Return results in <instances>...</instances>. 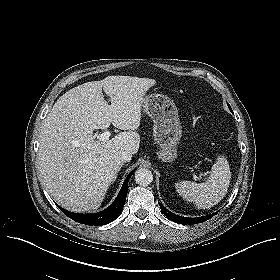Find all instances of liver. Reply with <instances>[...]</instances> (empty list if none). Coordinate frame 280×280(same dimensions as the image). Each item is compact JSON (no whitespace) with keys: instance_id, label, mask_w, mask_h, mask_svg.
I'll list each match as a JSON object with an SVG mask.
<instances>
[{"instance_id":"1","label":"liver","mask_w":280,"mask_h":280,"mask_svg":"<svg viewBox=\"0 0 280 280\" xmlns=\"http://www.w3.org/2000/svg\"><path fill=\"white\" fill-rule=\"evenodd\" d=\"M155 84L149 78L108 76L74 87L55 102L42 123L38 169L59 205L74 212L100 207L120 170V154L139 150L136 130L144 95ZM110 124L124 131L111 140H96L94 130Z\"/></svg>"}]
</instances>
